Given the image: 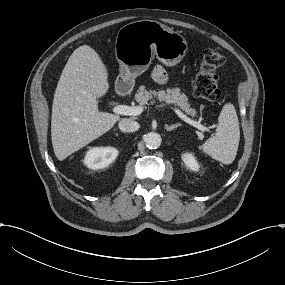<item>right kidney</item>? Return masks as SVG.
<instances>
[{
  "label": "right kidney",
  "mask_w": 285,
  "mask_h": 285,
  "mask_svg": "<svg viewBox=\"0 0 285 285\" xmlns=\"http://www.w3.org/2000/svg\"><path fill=\"white\" fill-rule=\"evenodd\" d=\"M118 153V150L113 147H93L86 152L83 163L93 170L102 169L112 163Z\"/></svg>",
  "instance_id": "1"
}]
</instances>
